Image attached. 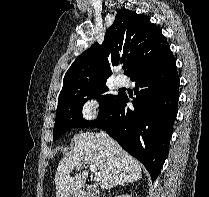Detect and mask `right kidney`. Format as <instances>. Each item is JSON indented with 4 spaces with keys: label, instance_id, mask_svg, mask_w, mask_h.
I'll use <instances>...</instances> for the list:
<instances>
[{
    "label": "right kidney",
    "instance_id": "obj_1",
    "mask_svg": "<svg viewBox=\"0 0 209 197\" xmlns=\"http://www.w3.org/2000/svg\"><path fill=\"white\" fill-rule=\"evenodd\" d=\"M117 197H131L130 195H119Z\"/></svg>",
    "mask_w": 209,
    "mask_h": 197
}]
</instances>
